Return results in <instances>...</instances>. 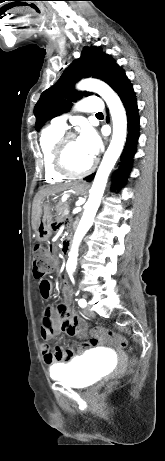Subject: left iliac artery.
<instances>
[{"label":"left iliac artery","mask_w":165,"mask_h":461,"mask_svg":"<svg viewBox=\"0 0 165 461\" xmlns=\"http://www.w3.org/2000/svg\"><path fill=\"white\" fill-rule=\"evenodd\" d=\"M78 304H79L80 307H85L86 306V300L85 299H80L78 301Z\"/></svg>","instance_id":"1"}]
</instances>
